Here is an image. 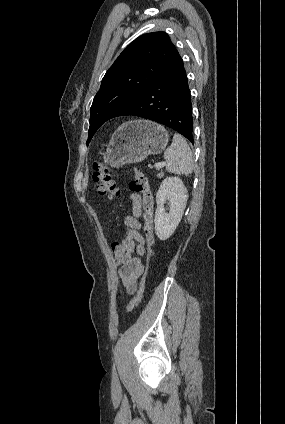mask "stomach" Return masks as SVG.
<instances>
[{
    "instance_id": "1",
    "label": "stomach",
    "mask_w": 285,
    "mask_h": 424,
    "mask_svg": "<svg viewBox=\"0 0 285 424\" xmlns=\"http://www.w3.org/2000/svg\"><path fill=\"white\" fill-rule=\"evenodd\" d=\"M168 144L164 127L147 120L123 123L112 136L104 160L111 166L145 160L148 155L160 154Z\"/></svg>"
}]
</instances>
